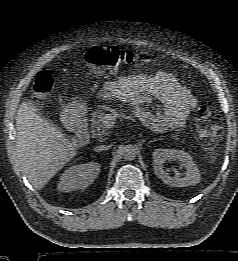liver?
Wrapping results in <instances>:
<instances>
[{
    "instance_id": "obj_1",
    "label": "liver",
    "mask_w": 238,
    "mask_h": 261,
    "mask_svg": "<svg viewBox=\"0 0 238 261\" xmlns=\"http://www.w3.org/2000/svg\"><path fill=\"white\" fill-rule=\"evenodd\" d=\"M16 151L23 173L40 190L76 154L78 146L66 138L55 124L23 101L16 116Z\"/></svg>"
}]
</instances>
